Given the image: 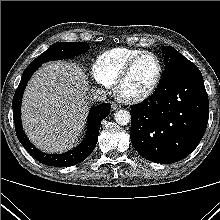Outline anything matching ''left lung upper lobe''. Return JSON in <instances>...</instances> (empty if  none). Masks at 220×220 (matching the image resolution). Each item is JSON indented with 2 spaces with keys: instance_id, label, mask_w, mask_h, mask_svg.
<instances>
[{
  "instance_id": "obj_1",
  "label": "left lung upper lobe",
  "mask_w": 220,
  "mask_h": 220,
  "mask_svg": "<svg viewBox=\"0 0 220 220\" xmlns=\"http://www.w3.org/2000/svg\"><path fill=\"white\" fill-rule=\"evenodd\" d=\"M163 55L165 69L174 65L186 64L191 62L171 46L163 48Z\"/></svg>"
}]
</instances>
